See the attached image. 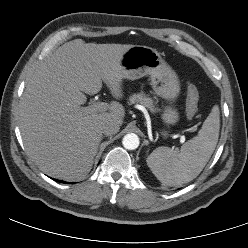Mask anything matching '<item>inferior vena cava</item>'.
I'll return each mask as SVG.
<instances>
[{"instance_id": "obj_1", "label": "inferior vena cava", "mask_w": 248, "mask_h": 248, "mask_svg": "<svg viewBox=\"0 0 248 248\" xmlns=\"http://www.w3.org/2000/svg\"><path fill=\"white\" fill-rule=\"evenodd\" d=\"M101 129L103 134H105L106 136H111L119 131L120 125L113 120H109V121H105L102 124Z\"/></svg>"}]
</instances>
